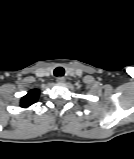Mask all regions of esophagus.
<instances>
[{"label":"esophagus","mask_w":134,"mask_h":159,"mask_svg":"<svg viewBox=\"0 0 134 159\" xmlns=\"http://www.w3.org/2000/svg\"><path fill=\"white\" fill-rule=\"evenodd\" d=\"M56 81H57L58 83H64V82H65V77H63V76L57 77V78H56Z\"/></svg>","instance_id":"obj_1"}]
</instances>
